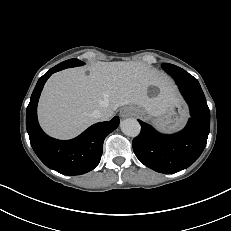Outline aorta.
I'll list each match as a JSON object with an SVG mask.
<instances>
[{"mask_svg":"<svg viewBox=\"0 0 231 231\" xmlns=\"http://www.w3.org/2000/svg\"><path fill=\"white\" fill-rule=\"evenodd\" d=\"M121 131L130 137H136L141 131L139 122L134 118H127L120 123Z\"/></svg>","mask_w":231,"mask_h":231,"instance_id":"aorta-1","label":"aorta"}]
</instances>
